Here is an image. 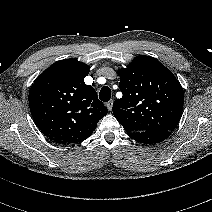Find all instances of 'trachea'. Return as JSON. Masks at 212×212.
<instances>
[{
	"instance_id": "obj_1",
	"label": "trachea",
	"mask_w": 212,
	"mask_h": 212,
	"mask_svg": "<svg viewBox=\"0 0 212 212\" xmlns=\"http://www.w3.org/2000/svg\"><path fill=\"white\" fill-rule=\"evenodd\" d=\"M99 98L103 102H107L111 98V89L107 86L102 87L99 93Z\"/></svg>"
}]
</instances>
